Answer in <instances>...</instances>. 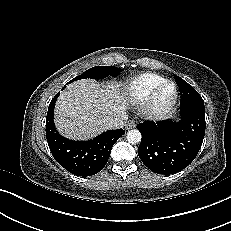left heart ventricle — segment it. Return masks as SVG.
<instances>
[{
	"label": "left heart ventricle",
	"instance_id": "1",
	"mask_svg": "<svg viewBox=\"0 0 231 231\" xmlns=\"http://www.w3.org/2000/svg\"><path fill=\"white\" fill-rule=\"evenodd\" d=\"M171 95H172V87L169 85L165 86L158 94L156 102L158 104H163L169 100Z\"/></svg>",
	"mask_w": 231,
	"mask_h": 231
}]
</instances>
